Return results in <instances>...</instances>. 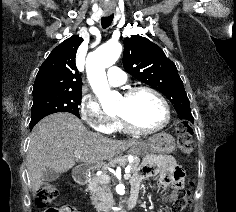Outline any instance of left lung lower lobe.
<instances>
[{"mask_svg":"<svg viewBox=\"0 0 236 212\" xmlns=\"http://www.w3.org/2000/svg\"><path fill=\"white\" fill-rule=\"evenodd\" d=\"M179 118L189 120L193 123V116L191 114V111H183L179 114Z\"/></svg>","mask_w":236,"mask_h":212,"instance_id":"left-lung-lower-lobe-1","label":"left lung lower lobe"}]
</instances>
